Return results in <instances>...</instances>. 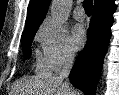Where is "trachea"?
<instances>
[{"instance_id":"trachea-1","label":"trachea","mask_w":119,"mask_h":95,"mask_svg":"<svg viewBox=\"0 0 119 95\" xmlns=\"http://www.w3.org/2000/svg\"><path fill=\"white\" fill-rule=\"evenodd\" d=\"M92 6H93L92 0H84L83 1V8H84L86 14H88V15L92 14Z\"/></svg>"}]
</instances>
